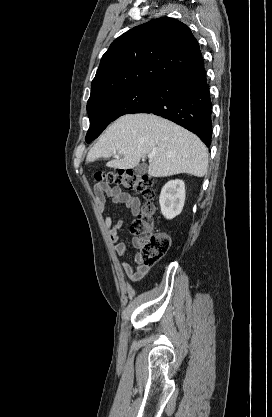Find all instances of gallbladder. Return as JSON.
Returning a JSON list of instances; mask_svg holds the SVG:
<instances>
[{
	"mask_svg": "<svg viewBox=\"0 0 272 417\" xmlns=\"http://www.w3.org/2000/svg\"><path fill=\"white\" fill-rule=\"evenodd\" d=\"M147 171H148V166H147L146 164H144V163H142V164H138V165L135 167V173H136L137 175H143V174H146V173H147Z\"/></svg>",
	"mask_w": 272,
	"mask_h": 417,
	"instance_id": "gallbladder-1",
	"label": "gallbladder"
}]
</instances>
